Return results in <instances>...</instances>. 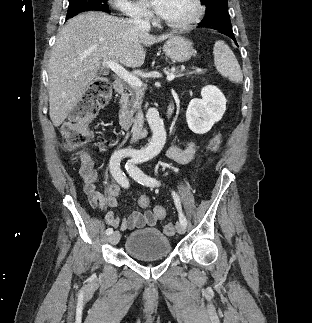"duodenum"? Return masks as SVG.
<instances>
[{"label":"duodenum","mask_w":312,"mask_h":323,"mask_svg":"<svg viewBox=\"0 0 312 323\" xmlns=\"http://www.w3.org/2000/svg\"><path fill=\"white\" fill-rule=\"evenodd\" d=\"M113 89L118 95L119 98V107H118V119L119 123L124 128L131 127L133 123V117L127 108V95H126V82L122 78H118L113 82ZM175 112V106L171 103L168 106L167 114L168 116H173ZM139 138H143V134H139Z\"/></svg>","instance_id":"obj_1"}]
</instances>
